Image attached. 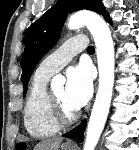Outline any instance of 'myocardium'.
<instances>
[{
	"instance_id": "obj_1",
	"label": "myocardium",
	"mask_w": 139,
	"mask_h": 150,
	"mask_svg": "<svg viewBox=\"0 0 139 150\" xmlns=\"http://www.w3.org/2000/svg\"><path fill=\"white\" fill-rule=\"evenodd\" d=\"M47 109L51 121L59 128L72 125L78 118L77 111L71 115L65 114L51 92H47Z\"/></svg>"
}]
</instances>
